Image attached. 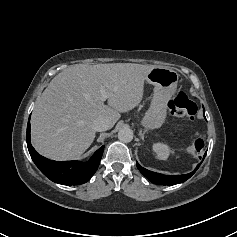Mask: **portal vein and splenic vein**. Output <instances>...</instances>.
I'll list each match as a JSON object with an SVG mask.
<instances>
[{
	"instance_id": "18ae733b",
	"label": "portal vein and splenic vein",
	"mask_w": 237,
	"mask_h": 237,
	"mask_svg": "<svg viewBox=\"0 0 237 237\" xmlns=\"http://www.w3.org/2000/svg\"><path fill=\"white\" fill-rule=\"evenodd\" d=\"M100 93H101V100L105 101L107 99L106 91H105V86L100 87Z\"/></svg>"
}]
</instances>
